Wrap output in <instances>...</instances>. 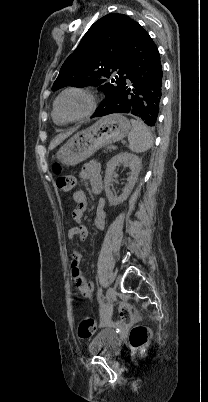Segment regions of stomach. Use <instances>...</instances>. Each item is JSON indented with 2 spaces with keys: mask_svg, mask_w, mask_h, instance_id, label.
I'll return each mask as SVG.
<instances>
[{
  "mask_svg": "<svg viewBox=\"0 0 208 402\" xmlns=\"http://www.w3.org/2000/svg\"><path fill=\"white\" fill-rule=\"evenodd\" d=\"M131 130V124L121 114L103 116L96 124L77 132L56 154V160L64 166H76L93 156L100 148L123 140Z\"/></svg>",
  "mask_w": 208,
  "mask_h": 402,
  "instance_id": "0dacf381",
  "label": "stomach"
}]
</instances>
